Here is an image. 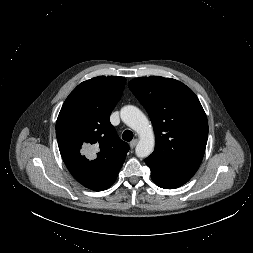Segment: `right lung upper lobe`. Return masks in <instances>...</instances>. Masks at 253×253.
Wrapping results in <instances>:
<instances>
[{"label": "right lung upper lobe", "mask_w": 253, "mask_h": 253, "mask_svg": "<svg viewBox=\"0 0 253 253\" xmlns=\"http://www.w3.org/2000/svg\"><path fill=\"white\" fill-rule=\"evenodd\" d=\"M126 79L98 76L79 84L65 100L56 122L59 150L68 170L83 186L101 191L116 179L129 151L109 117ZM90 147L95 155L86 157Z\"/></svg>", "instance_id": "right-lung-upper-lobe-1"}]
</instances>
